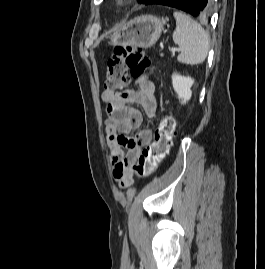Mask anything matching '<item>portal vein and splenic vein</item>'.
I'll use <instances>...</instances> for the list:
<instances>
[{"mask_svg": "<svg viewBox=\"0 0 265 269\" xmlns=\"http://www.w3.org/2000/svg\"><path fill=\"white\" fill-rule=\"evenodd\" d=\"M180 49L179 48H176V47H173V48H171L170 49V51L172 52V53H174L175 51H179Z\"/></svg>", "mask_w": 265, "mask_h": 269, "instance_id": "portal-vein-and-splenic-vein-1", "label": "portal vein and splenic vein"}]
</instances>
